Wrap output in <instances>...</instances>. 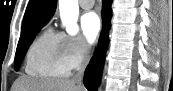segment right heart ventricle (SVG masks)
<instances>
[{
	"label": "right heart ventricle",
	"instance_id": "1",
	"mask_svg": "<svg viewBox=\"0 0 173 91\" xmlns=\"http://www.w3.org/2000/svg\"><path fill=\"white\" fill-rule=\"evenodd\" d=\"M70 71L63 54L62 36L45 30L28 50L26 72L39 78H66Z\"/></svg>",
	"mask_w": 173,
	"mask_h": 91
}]
</instances>
